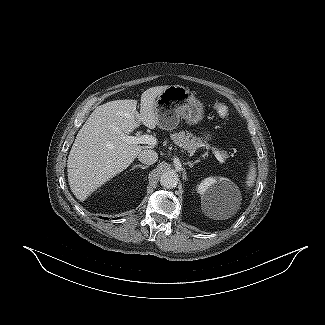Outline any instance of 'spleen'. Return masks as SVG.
I'll return each mask as SVG.
<instances>
[{"mask_svg":"<svg viewBox=\"0 0 325 325\" xmlns=\"http://www.w3.org/2000/svg\"><path fill=\"white\" fill-rule=\"evenodd\" d=\"M256 168H255V163L251 162L250 166H249V171L248 174L246 176V186L248 188L253 187L255 180H256Z\"/></svg>","mask_w":325,"mask_h":325,"instance_id":"obj_1","label":"spleen"}]
</instances>
